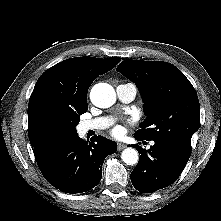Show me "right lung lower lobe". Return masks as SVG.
<instances>
[{
    "label": "right lung lower lobe",
    "mask_w": 221,
    "mask_h": 221,
    "mask_svg": "<svg viewBox=\"0 0 221 221\" xmlns=\"http://www.w3.org/2000/svg\"><path fill=\"white\" fill-rule=\"evenodd\" d=\"M116 150L117 144L102 136L85 142L75 135L50 144L35 156L51 185L65 193H81L100 182L104 159Z\"/></svg>",
    "instance_id": "98d812e1"
}]
</instances>
